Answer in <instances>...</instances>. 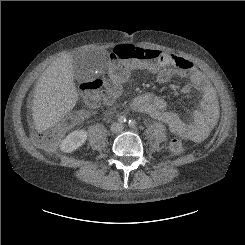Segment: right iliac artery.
<instances>
[{"mask_svg":"<svg viewBox=\"0 0 245 245\" xmlns=\"http://www.w3.org/2000/svg\"><path fill=\"white\" fill-rule=\"evenodd\" d=\"M126 121H127V119H126L125 116H120V117L118 118V122H119V123H125Z\"/></svg>","mask_w":245,"mask_h":245,"instance_id":"obj_1","label":"right iliac artery"}]
</instances>
